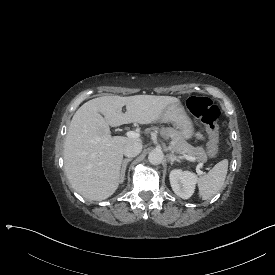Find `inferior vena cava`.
Returning <instances> with one entry per match:
<instances>
[{"label":"inferior vena cava","instance_id":"1","mask_svg":"<svg viewBox=\"0 0 275 275\" xmlns=\"http://www.w3.org/2000/svg\"><path fill=\"white\" fill-rule=\"evenodd\" d=\"M142 144L140 142H129L123 147V153L127 157H135L142 151Z\"/></svg>","mask_w":275,"mask_h":275}]
</instances>
